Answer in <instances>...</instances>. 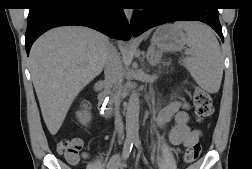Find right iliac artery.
Wrapping results in <instances>:
<instances>
[{"label":"right iliac artery","instance_id":"1","mask_svg":"<svg viewBox=\"0 0 252 169\" xmlns=\"http://www.w3.org/2000/svg\"><path fill=\"white\" fill-rule=\"evenodd\" d=\"M133 140H126L125 144H124V148H123V152H122V156L123 158H127L132 150L133 147Z\"/></svg>","mask_w":252,"mask_h":169}]
</instances>
